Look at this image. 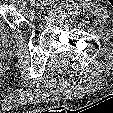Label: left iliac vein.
<instances>
[{"mask_svg":"<svg viewBox=\"0 0 113 113\" xmlns=\"http://www.w3.org/2000/svg\"><path fill=\"white\" fill-rule=\"evenodd\" d=\"M30 6H31L32 8H36V1H35V0H31Z\"/></svg>","mask_w":113,"mask_h":113,"instance_id":"obj_1","label":"left iliac vein"}]
</instances>
